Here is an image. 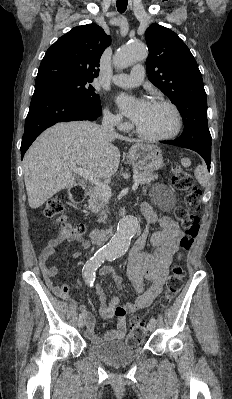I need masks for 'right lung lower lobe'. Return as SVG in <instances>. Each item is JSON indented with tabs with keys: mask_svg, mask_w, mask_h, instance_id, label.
<instances>
[{
	"mask_svg": "<svg viewBox=\"0 0 232 399\" xmlns=\"http://www.w3.org/2000/svg\"><path fill=\"white\" fill-rule=\"evenodd\" d=\"M101 114L102 110L81 103L59 88L35 86L25 121L21 158L37 136L50 126L58 122L96 120Z\"/></svg>",
	"mask_w": 232,
	"mask_h": 399,
	"instance_id": "obj_1",
	"label": "right lung lower lobe"
}]
</instances>
